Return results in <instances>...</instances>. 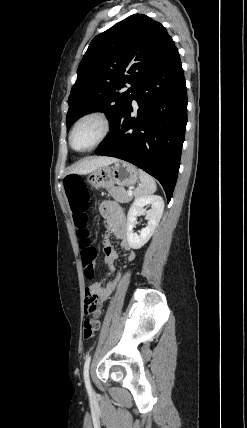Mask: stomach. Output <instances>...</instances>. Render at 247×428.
Here are the masks:
<instances>
[{
	"instance_id": "0dacf381",
	"label": "stomach",
	"mask_w": 247,
	"mask_h": 428,
	"mask_svg": "<svg viewBox=\"0 0 247 428\" xmlns=\"http://www.w3.org/2000/svg\"><path fill=\"white\" fill-rule=\"evenodd\" d=\"M139 178L138 169L128 162L118 160L112 165L103 166L91 172L87 182L94 189H109L115 184L119 186H130L135 184Z\"/></svg>"
}]
</instances>
